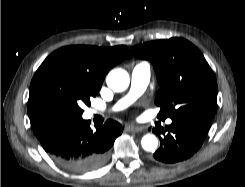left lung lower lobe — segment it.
Returning <instances> with one entry per match:
<instances>
[{
  "instance_id": "0a47b994",
  "label": "left lung lower lobe",
  "mask_w": 245,
  "mask_h": 187,
  "mask_svg": "<svg viewBox=\"0 0 245 187\" xmlns=\"http://www.w3.org/2000/svg\"><path fill=\"white\" fill-rule=\"evenodd\" d=\"M211 120H172L165 128L153 129L160 139V148L153 159L165 164H174L190 158L201 147Z\"/></svg>"
}]
</instances>
